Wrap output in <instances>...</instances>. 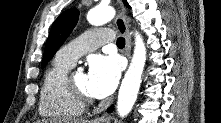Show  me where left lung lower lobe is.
<instances>
[{"instance_id": "left-lung-lower-lobe-1", "label": "left lung lower lobe", "mask_w": 221, "mask_h": 123, "mask_svg": "<svg viewBox=\"0 0 221 123\" xmlns=\"http://www.w3.org/2000/svg\"><path fill=\"white\" fill-rule=\"evenodd\" d=\"M113 111V106H111L109 109H108V112H112Z\"/></svg>"}]
</instances>
